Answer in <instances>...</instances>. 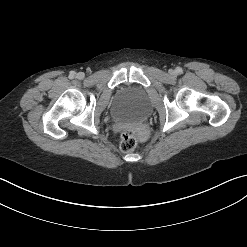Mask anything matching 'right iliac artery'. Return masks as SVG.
<instances>
[{"label":"right iliac artery","instance_id":"82829eb1","mask_svg":"<svg viewBox=\"0 0 247 247\" xmlns=\"http://www.w3.org/2000/svg\"><path fill=\"white\" fill-rule=\"evenodd\" d=\"M75 74H76V73H75L74 71H71L70 74H69V77H70V78H74Z\"/></svg>","mask_w":247,"mask_h":247}]
</instances>
